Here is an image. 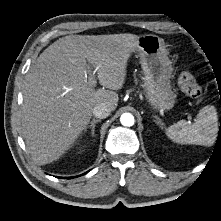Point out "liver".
Listing matches in <instances>:
<instances>
[{"label":"liver","instance_id":"obj_1","mask_svg":"<svg viewBox=\"0 0 221 221\" xmlns=\"http://www.w3.org/2000/svg\"><path fill=\"white\" fill-rule=\"evenodd\" d=\"M138 40L133 34L66 36L31 65L23 89L22 135L37 164L59 159L85 130L96 105L116 109L115 91L123 87ZM93 68L103 86L98 90L91 85Z\"/></svg>","mask_w":221,"mask_h":221}]
</instances>
